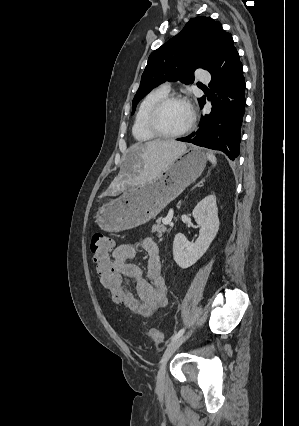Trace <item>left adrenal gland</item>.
<instances>
[{"instance_id": "left-adrenal-gland-1", "label": "left adrenal gland", "mask_w": 299, "mask_h": 426, "mask_svg": "<svg viewBox=\"0 0 299 426\" xmlns=\"http://www.w3.org/2000/svg\"><path fill=\"white\" fill-rule=\"evenodd\" d=\"M203 182H205L204 179H202L199 183H197L193 188H196V187L200 186L201 184H203Z\"/></svg>"}]
</instances>
